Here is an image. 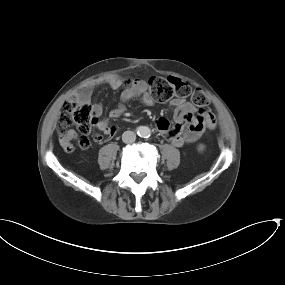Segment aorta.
<instances>
[{"label":"aorta","mask_w":285,"mask_h":285,"mask_svg":"<svg viewBox=\"0 0 285 285\" xmlns=\"http://www.w3.org/2000/svg\"><path fill=\"white\" fill-rule=\"evenodd\" d=\"M138 135L142 138H148L151 135V130L147 126H141L138 129Z\"/></svg>","instance_id":"1"}]
</instances>
